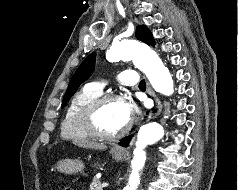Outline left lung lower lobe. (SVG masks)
<instances>
[{
  "instance_id": "obj_1",
  "label": "left lung lower lobe",
  "mask_w": 238,
  "mask_h": 190,
  "mask_svg": "<svg viewBox=\"0 0 238 190\" xmlns=\"http://www.w3.org/2000/svg\"><path fill=\"white\" fill-rule=\"evenodd\" d=\"M132 136H128L126 138H124L120 143L119 145L121 146H124V147H127L129 142H130V139H131Z\"/></svg>"
}]
</instances>
